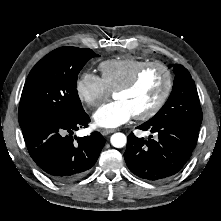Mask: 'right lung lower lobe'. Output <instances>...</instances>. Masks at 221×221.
I'll return each mask as SVG.
<instances>
[{"instance_id":"obj_1","label":"right lung lower lobe","mask_w":221,"mask_h":221,"mask_svg":"<svg viewBox=\"0 0 221 221\" xmlns=\"http://www.w3.org/2000/svg\"><path fill=\"white\" fill-rule=\"evenodd\" d=\"M88 122L90 118L83 112L69 120H49L22 131L31 158L46 176L57 182H71L95 164L105 138L99 132L73 136Z\"/></svg>"}]
</instances>
